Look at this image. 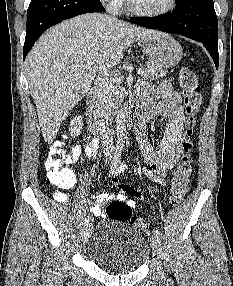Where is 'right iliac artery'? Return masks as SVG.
<instances>
[{
	"instance_id": "1",
	"label": "right iliac artery",
	"mask_w": 233,
	"mask_h": 286,
	"mask_svg": "<svg viewBox=\"0 0 233 286\" xmlns=\"http://www.w3.org/2000/svg\"><path fill=\"white\" fill-rule=\"evenodd\" d=\"M120 157H121V147L118 146L116 148V151H115V154H114L111 166H110L109 176L112 175L116 171L119 165V162H120ZM88 224H89V218H85L83 221L82 227H86L88 226Z\"/></svg>"
}]
</instances>
